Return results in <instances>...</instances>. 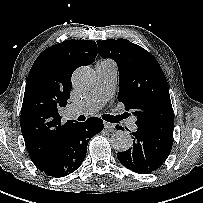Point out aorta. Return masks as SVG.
Returning a JSON list of instances; mask_svg holds the SVG:
<instances>
[{"mask_svg": "<svg viewBox=\"0 0 203 203\" xmlns=\"http://www.w3.org/2000/svg\"><path fill=\"white\" fill-rule=\"evenodd\" d=\"M74 87L79 91L89 90L96 82V74L93 69L83 66L76 69L72 76ZM112 147L120 152L127 151L133 144V139L127 131H116L110 139Z\"/></svg>", "mask_w": 203, "mask_h": 203, "instance_id": "762f6f07", "label": "aorta"}]
</instances>
